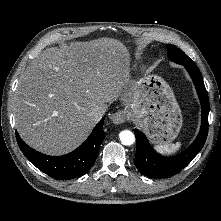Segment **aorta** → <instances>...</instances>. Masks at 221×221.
Segmentation results:
<instances>
[{
    "label": "aorta",
    "mask_w": 221,
    "mask_h": 221,
    "mask_svg": "<svg viewBox=\"0 0 221 221\" xmlns=\"http://www.w3.org/2000/svg\"><path fill=\"white\" fill-rule=\"evenodd\" d=\"M120 141L123 145L129 146L135 142L134 134L129 130H123L119 134Z\"/></svg>",
    "instance_id": "762f6f07"
}]
</instances>
